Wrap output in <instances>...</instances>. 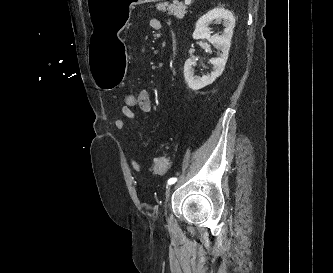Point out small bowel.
<instances>
[{"instance_id":"1","label":"small bowel","mask_w":333,"mask_h":273,"mask_svg":"<svg viewBox=\"0 0 333 273\" xmlns=\"http://www.w3.org/2000/svg\"><path fill=\"white\" fill-rule=\"evenodd\" d=\"M151 26L155 30H162L165 27V23L159 19V18H153L151 20ZM138 108L144 113V114H150L152 112V102L150 98L149 91L147 89H141L139 93L137 94V101ZM121 116L124 118H127L129 120H137L138 116L132 109H123L121 108ZM114 126L116 129L121 130L126 127V123L123 119H117L114 122ZM129 163L133 171L136 173H142L143 166L142 164L134 157L130 156Z\"/></svg>"}]
</instances>
